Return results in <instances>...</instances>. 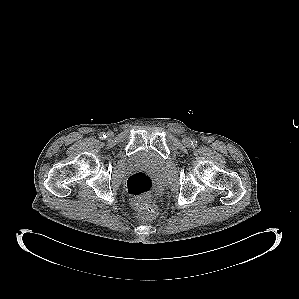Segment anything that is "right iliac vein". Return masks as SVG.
I'll return each instance as SVG.
<instances>
[{
	"label": "right iliac vein",
	"instance_id": "1",
	"mask_svg": "<svg viewBox=\"0 0 299 299\" xmlns=\"http://www.w3.org/2000/svg\"><path fill=\"white\" fill-rule=\"evenodd\" d=\"M108 136H112V133H111V132H109V133H108Z\"/></svg>",
	"mask_w": 299,
	"mask_h": 299
}]
</instances>
